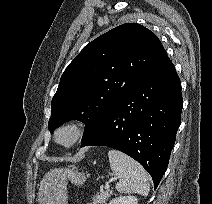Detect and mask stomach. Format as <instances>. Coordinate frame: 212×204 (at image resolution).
I'll list each match as a JSON object with an SVG mask.
<instances>
[{
	"label": "stomach",
	"instance_id": "1",
	"mask_svg": "<svg viewBox=\"0 0 212 204\" xmlns=\"http://www.w3.org/2000/svg\"><path fill=\"white\" fill-rule=\"evenodd\" d=\"M68 180L74 185H82L86 177L72 169L57 168L46 173L40 182L39 204H67Z\"/></svg>",
	"mask_w": 212,
	"mask_h": 204
}]
</instances>
